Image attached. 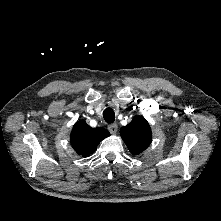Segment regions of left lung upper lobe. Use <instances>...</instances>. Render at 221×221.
Masks as SVG:
<instances>
[{"label":"left lung upper lobe","mask_w":221,"mask_h":221,"mask_svg":"<svg viewBox=\"0 0 221 221\" xmlns=\"http://www.w3.org/2000/svg\"><path fill=\"white\" fill-rule=\"evenodd\" d=\"M120 134L134 155L142 153L152 139L151 128L143 116H136L128 125L121 128Z\"/></svg>","instance_id":"left-lung-upper-lobe-1"}]
</instances>
